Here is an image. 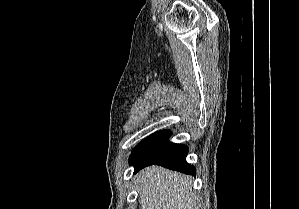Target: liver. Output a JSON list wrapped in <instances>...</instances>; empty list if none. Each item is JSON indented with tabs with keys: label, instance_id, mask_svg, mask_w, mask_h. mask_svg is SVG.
<instances>
[{
	"label": "liver",
	"instance_id": "liver-1",
	"mask_svg": "<svg viewBox=\"0 0 299 209\" xmlns=\"http://www.w3.org/2000/svg\"><path fill=\"white\" fill-rule=\"evenodd\" d=\"M190 177L151 166L137 178L141 209H195L196 197Z\"/></svg>",
	"mask_w": 299,
	"mask_h": 209
}]
</instances>
